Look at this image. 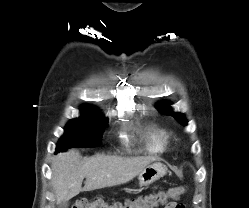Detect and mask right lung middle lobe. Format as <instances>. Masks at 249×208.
Segmentation results:
<instances>
[{
  "mask_svg": "<svg viewBox=\"0 0 249 208\" xmlns=\"http://www.w3.org/2000/svg\"><path fill=\"white\" fill-rule=\"evenodd\" d=\"M107 124L102 115L88 110H82V116L69 121L60 138L56 151H65L71 147H94L100 143V138Z\"/></svg>",
  "mask_w": 249,
  "mask_h": 208,
  "instance_id": "1",
  "label": "right lung middle lobe"
}]
</instances>
